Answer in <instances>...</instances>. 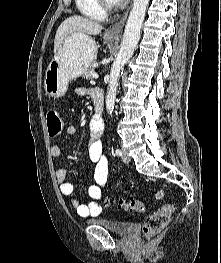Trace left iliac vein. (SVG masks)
Segmentation results:
<instances>
[{
    "label": "left iliac vein",
    "mask_w": 221,
    "mask_h": 263,
    "mask_svg": "<svg viewBox=\"0 0 221 263\" xmlns=\"http://www.w3.org/2000/svg\"><path fill=\"white\" fill-rule=\"evenodd\" d=\"M122 160L126 163L130 162V157L126 151H123Z\"/></svg>",
    "instance_id": "4c4485c4"
}]
</instances>
